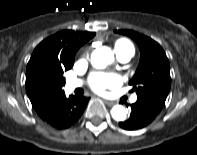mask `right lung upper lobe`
Listing matches in <instances>:
<instances>
[{
	"instance_id": "obj_1",
	"label": "right lung upper lobe",
	"mask_w": 197,
	"mask_h": 155,
	"mask_svg": "<svg viewBox=\"0 0 197 155\" xmlns=\"http://www.w3.org/2000/svg\"><path fill=\"white\" fill-rule=\"evenodd\" d=\"M95 33L60 31L43 40L26 68V91L37 114L44 120L65 98L64 71L74 64L77 50Z\"/></svg>"
}]
</instances>
